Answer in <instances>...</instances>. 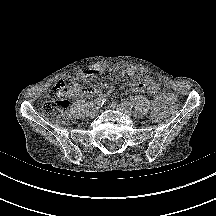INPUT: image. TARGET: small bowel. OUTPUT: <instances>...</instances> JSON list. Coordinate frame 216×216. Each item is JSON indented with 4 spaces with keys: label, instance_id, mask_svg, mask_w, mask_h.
<instances>
[{
    "label": "small bowel",
    "instance_id": "small-bowel-1",
    "mask_svg": "<svg viewBox=\"0 0 216 216\" xmlns=\"http://www.w3.org/2000/svg\"><path fill=\"white\" fill-rule=\"evenodd\" d=\"M123 75L128 80H131L135 76V72L132 69H126ZM129 85L133 91L146 92L155 96L151 115L154 120H159L170 102L171 93L160 92L155 81L145 73H140L137 76V81H130ZM104 89H106L104 84H95L88 87L78 86L72 95L75 97H91Z\"/></svg>",
    "mask_w": 216,
    "mask_h": 216
}]
</instances>
